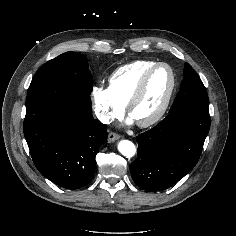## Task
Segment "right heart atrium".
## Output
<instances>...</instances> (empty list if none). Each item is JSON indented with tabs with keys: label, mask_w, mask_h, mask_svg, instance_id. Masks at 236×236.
<instances>
[{
	"label": "right heart atrium",
	"mask_w": 236,
	"mask_h": 236,
	"mask_svg": "<svg viewBox=\"0 0 236 236\" xmlns=\"http://www.w3.org/2000/svg\"><path fill=\"white\" fill-rule=\"evenodd\" d=\"M92 100L95 114L104 124L112 122L124 111V106L117 101L109 88L102 86L93 87Z\"/></svg>",
	"instance_id": "right-heart-atrium-1"
}]
</instances>
